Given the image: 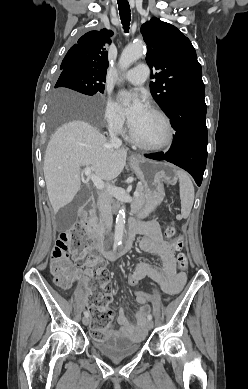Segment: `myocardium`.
I'll use <instances>...</instances> for the list:
<instances>
[{
  "label": "myocardium",
  "instance_id": "f54148a6",
  "mask_svg": "<svg viewBox=\"0 0 248 389\" xmlns=\"http://www.w3.org/2000/svg\"><path fill=\"white\" fill-rule=\"evenodd\" d=\"M147 109L150 110L152 113L157 115L162 122L164 123L166 133L165 137L158 143H145L140 141L134 134L131 129V126L129 128V138L130 140L138 147L144 149V150H149V151H158L161 149H164L168 146H170L173 142L174 139V129L172 122L170 118L166 115L165 112H163L160 108H158L155 105H148Z\"/></svg>",
  "mask_w": 248,
  "mask_h": 389
}]
</instances>
